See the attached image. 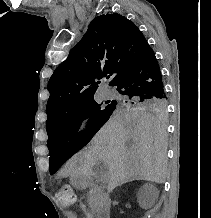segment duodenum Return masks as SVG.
I'll use <instances>...</instances> for the list:
<instances>
[{
    "label": "duodenum",
    "mask_w": 211,
    "mask_h": 218,
    "mask_svg": "<svg viewBox=\"0 0 211 218\" xmlns=\"http://www.w3.org/2000/svg\"><path fill=\"white\" fill-rule=\"evenodd\" d=\"M83 181H84V183H86V184H90V183L92 182V179H91L90 176L85 175V176L83 177ZM103 218H109V213H108L107 210H104V212H103Z\"/></svg>",
    "instance_id": "obj_1"
}]
</instances>
